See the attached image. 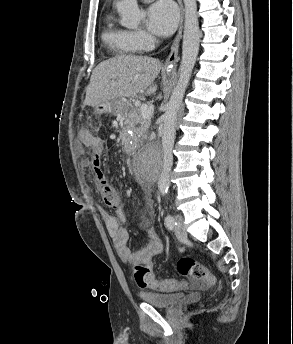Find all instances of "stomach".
Here are the masks:
<instances>
[{
	"instance_id": "1",
	"label": "stomach",
	"mask_w": 293,
	"mask_h": 344,
	"mask_svg": "<svg viewBox=\"0 0 293 344\" xmlns=\"http://www.w3.org/2000/svg\"><path fill=\"white\" fill-rule=\"evenodd\" d=\"M129 107H130V104L125 99H116V100L100 103L96 105L94 109L97 114H103V113L109 112L114 115L124 116L127 113Z\"/></svg>"
}]
</instances>
